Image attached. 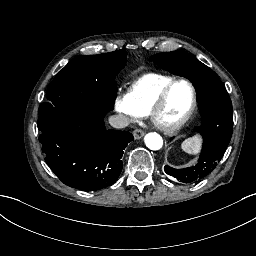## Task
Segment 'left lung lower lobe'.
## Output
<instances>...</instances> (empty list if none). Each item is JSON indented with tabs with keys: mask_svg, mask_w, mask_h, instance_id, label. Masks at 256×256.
<instances>
[{
	"mask_svg": "<svg viewBox=\"0 0 256 256\" xmlns=\"http://www.w3.org/2000/svg\"><path fill=\"white\" fill-rule=\"evenodd\" d=\"M167 174L176 177L177 180L184 182V183H193L198 182L199 180L203 179L205 176H193V175H185L182 173H171L167 172Z\"/></svg>",
	"mask_w": 256,
	"mask_h": 256,
	"instance_id": "1",
	"label": "left lung lower lobe"
}]
</instances>
